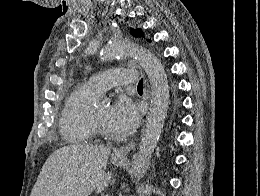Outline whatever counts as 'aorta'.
<instances>
[{
	"label": "aorta",
	"instance_id": "762f6f07",
	"mask_svg": "<svg viewBox=\"0 0 260 196\" xmlns=\"http://www.w3.org/2000/svg\"><path fill=\"white\" fill-rule=\"evenodd\" d=\"M133 56L145 70L152 88V107L148 115L139 152L132 161L134 175L141 179L150 165V158L158 143L169 102V85L164 67L149 50L130 42H113L100 52L102 60Z\"/></svg>",
	"mask_w": 260,
	"mask_h": 196
}]
</instances>
